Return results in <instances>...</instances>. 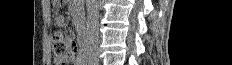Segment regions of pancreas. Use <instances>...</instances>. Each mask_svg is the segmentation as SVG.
Instances as JSON below:
<instances>
[{
	"label": "pancreas",
	"mask_w": 232,
	"mask_h": 65,
	"mask_svg": "<svg viewBox=\"0 0 232 65\" xmlns=\"http://www.w3.org/2000/svg\"><path fill=\"white\" fill-rule=\"evenodd\" d=\"M73 2H75V0H73ZM71 11L75 14V18H77V25H78V21H79V19H78V17H80V12L78 11V10H75V8H74V6H71ZM78 29H80L81 28V26H78L77 27Z\"/></svg>",
	"instance_id": "pancreas-1"
}]
</instances>
